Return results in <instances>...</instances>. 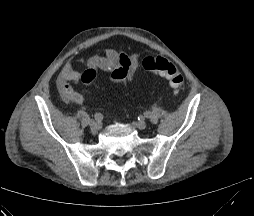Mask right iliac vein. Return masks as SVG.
<instances>
[{"label": "right iliac vein", "instance_id": "1", "mask_svg": "<svg viewBox=\"0 0 254 216\" xmlns=\"http://www.w3.org/2000/svg\"><path fill=\"white\" fill-rule=\"evenodd\" d=\"M89 127H90L92 132H97L101 128V124L94 121V120H91L89 122Z\"/></svg>", "mask_w": 254, "mask_h": 216}]
</instances>
